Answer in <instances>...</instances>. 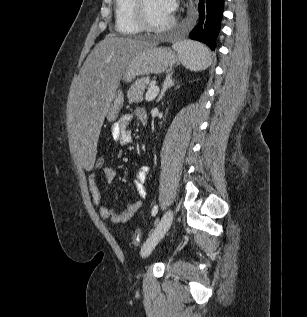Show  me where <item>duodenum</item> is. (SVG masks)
I'll use <instances>...</instances> for the list:
<instances>
[{
	"label": "duodenum",
	"instance_id": "410a0bca",
	"mask_svg": "<svg viewBox=\"0 0 307 317\" xmlns=\"http://www.w3.org/2000/svg\"><path fill=\"white\" fill-rule=\"evenodd\" d=\"M141 121L145 124L147 122V117L143 118Z\"/></svg>",
	"mask_w": 307,
	"mask_h": 317
}]
</instances>
